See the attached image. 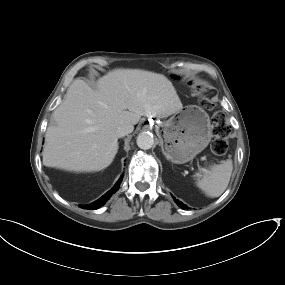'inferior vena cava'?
Here are the masks:
<instances>
[{
  "label": "inferior vena cava",
  "instance_id": "1",
  "mask_svg": "<svg viewBox=\"0 0 285 285\" xmlns=\"http://www.w3.org/2000/svg\"><path fill=\"white\" fill-rule=\"evenodd\" d=\"M134 127L131 124H123L116 129V135L118 138H121L133 131Z\"/></svg>",
  "mask_w": 285,
  "mask_h": 285
}]
</instances>
